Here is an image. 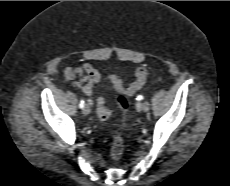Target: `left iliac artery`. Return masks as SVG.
<instances>
[{
  "instance_id": "44dca946",
  "label": "left iliac artery",
  "mask_w": 230,
  "mask_h": 186,
  "mask_svg": "<svg viewBox=\"0 0 230 186\" xmlns=\"http://www.w3.org/2000/svg\"><path fill=\"white\" fill-rule=\"evenodd\" d=\"M136 99H137L138 101H140V100L143 99V96H142V95H138Z\"/></svg>"
}]
</instances>
